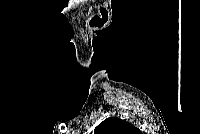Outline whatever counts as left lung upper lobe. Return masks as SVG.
<instances>
[{
  "label": "left lung upper lobe",
  "instance_id": "5c2ea615",
  "mask_svg": "<svg viewBox=\"0 0 200 134\" xmlns=\"http://www.w3.org/2000/svg\"><path fill=\"white\" fill-rule=\"evenodd\" d=\"M94 134H141L140 130L125 120L111 117L101 122Z\"/></svg>",
  "mask_w": 200,
  "mask_h": 134
}]
</instances>
